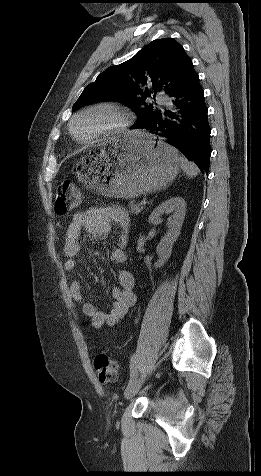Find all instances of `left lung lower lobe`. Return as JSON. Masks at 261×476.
<instances>
[{
  "label": "left lung lower lobe",
  "instance_id": "obj_1",
  "mask_svg": "<svg viewBox=\"0 0 261 476\" xmlns=\"http://www.w3.org/2000/svg\"><path fill=\"white\" fill-rule=\"evenodd\" d=\"M171 106L140 128L156 131L165 142L178 149L208 175L210 134L208 108L193 65L180 86L171 94Z\"/></svg>",
  "mask_w": 261,
  "mask_h": 476
}]
</instances>
